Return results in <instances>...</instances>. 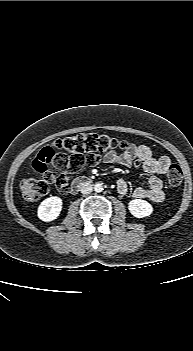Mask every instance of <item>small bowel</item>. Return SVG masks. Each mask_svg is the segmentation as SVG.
Segmentation results:
<instances>
[{
  "mask_svg": "<svg viewBox=\"0 0 193 351\" xmlns=\"http://www.w3.org/2000/svg\"><path fill=\"white\" fill-rule=\"evenodd\" d=\"M103 161L107 164H117L124 167H130L135 161H138L142 169L149 174L148 185L136 187L132 196L136 199H147L154 203H160L164 200L165 196L160 176L167 171L170 164L168 157H155L147 145L129 144L121 153L116 151L106 153L103 156ZM117 190L122 195L128 193V185L124 179L117 181Z\"/></svg>",
  "mask_w": 193,
  "mask_h": 351,
  "instance_id": "obj_1",
  "label": "small bowel"
}]
</instances>
